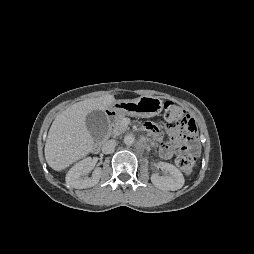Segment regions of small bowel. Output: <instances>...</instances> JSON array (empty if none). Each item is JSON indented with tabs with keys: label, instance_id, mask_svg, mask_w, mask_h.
I'll list each match as a JSON object with an SVG mask.
<instances>
[{
	"label": "small bowel",
	"instance_id": "1",
	"mask_svg": "<svg viewBox=\"0 0 254 254\" xmlns=\"http://www.w3.org/2000/svg\"><path fill=\"white\" fill-rule=\"evenodd\" d=\"M143 129L147 131L149 134H151L157 140H162V134L154 123L151 122L144 123ZM168 133L172 139L173 146L162 141L160 143L159 148L160 156L165 160L171 159L175 153L174 147H179V145L184 141L180 129L168 128ZM179 149L184 150V146L180 147Z\"/></svg>",
	"mask_w": 254,
	"mask_h": 254
}]
</instances>
